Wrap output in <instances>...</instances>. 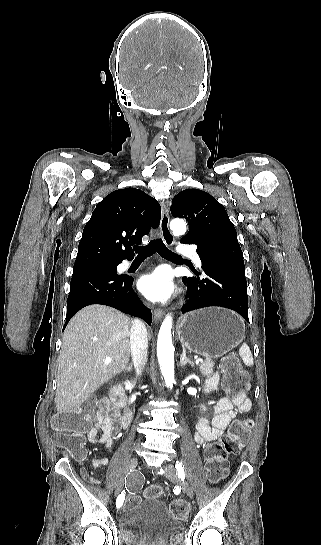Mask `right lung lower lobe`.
Instances as JSON below:
<instances>
[{"label":"right lung lower lobe","mask_w":321,"mask_h":545,"mask_svg":"<svg viewBox=\"0 0 321 545\" xmlns=\"http://www.w3.org/2000/svg\"><path fill=\"white\" fill-rule=\"evenodd\" d=\"M132 283L131 276L119 275L115 270L104 267L73 269L64 327L81 308L91 304L114 307L124 313L140 317L151 325V311L133 291Z\"/></svg>","instance_id":"1"}]
</instances>
